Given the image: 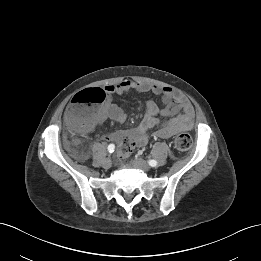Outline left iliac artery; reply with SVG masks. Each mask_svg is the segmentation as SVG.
I'll list each match as a JSON object with an SVG mask.
<instances>
[{"label":"left iliac artery","instance_id":"44dca946","mask_svg":"<svg viewBox=\"0 0 261 261\" xmlns=\"http://www.w3.org/2000/svg\"><path fill=\"white\" fill-rule=\"evenodd\" d=\"M148 163H149V165L152 166V167L157 166V161H156V160H149Z\"/></svg>","mask_w":261,"mask_h":261}]
</instances>
